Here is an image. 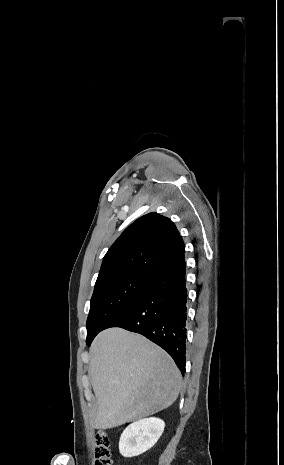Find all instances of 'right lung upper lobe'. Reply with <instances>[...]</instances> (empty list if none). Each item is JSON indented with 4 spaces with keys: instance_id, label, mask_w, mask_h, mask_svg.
Returning a JSON list of instances; mask_svg holds the SVG:
<instances>
[{
    "instance_id": "cb5924a9",
    "label": "right lung upper lobe",
    "mask_w": 284,
    "mask_h": 465,
    "mask_svg": "<svg viewBox=\"0 0 284 465\" xmlns=\"http://www.w3.org/2000/svg\"><path fill=\"white\" fill-rule=\"evenodd\" d=\"M184 261V242L167 217L149 213L128 226L103 258L96 282L126 274L155 278Z\"/></svg>"
}]
</instances>
